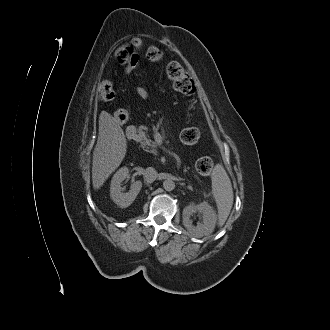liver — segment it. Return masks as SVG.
<instances>
[{"mask_svg":"<svg viewBox=\"0 0 330 330\" xmlns=\"http://www.w3.org/2000/svg\"><path fill=\"white\" fill-rule=\"evenodd\" d=\"M126 148V137L119 123L107 112H102L92 160V184L95 190L119 167L125 157Z\"/></svg>","mask_w":330,"mask_h":330,"instance_id":"liver-1","label":"liver"}]
</instances>
